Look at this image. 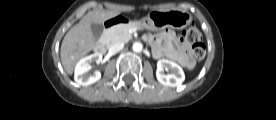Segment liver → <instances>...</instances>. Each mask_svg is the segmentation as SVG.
Listing matches in <instances>:
<instances>
[{"mask_svg":"<svg viewBox=\"0 0 276 120\" xmlns=\"http://www.w3.org/2000/svg\"><path fill=\"white\" fill-rule=\"evenodd\" d=\"M119 11L94 10L88 12L65 35L60 50L64 70L72 74L76 63L95 46V37L91 30L93 23L102 24L119 15Z\"/></svg>","mask_w":276,"mask_h":120,"instance_id":"1","label":"liver"}]
</instances>
